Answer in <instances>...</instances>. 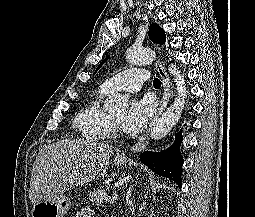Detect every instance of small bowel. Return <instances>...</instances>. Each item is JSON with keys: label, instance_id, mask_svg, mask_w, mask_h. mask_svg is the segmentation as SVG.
<instances>
[{"label": "small bowel", "instance_id": "obj_1", "mask_svg": "<svg viewBox=\"0 0 255 217\" xmlns=\"http://www.w3.org/2000/svg\"><path fill=\"white\" fill-rule=\"evenodd\" d=\"M77 217H94V209L88 206L84 207L78 212Z\"/></svg>", "mask_w": 255, "mask_h": 217}]
</instances>
